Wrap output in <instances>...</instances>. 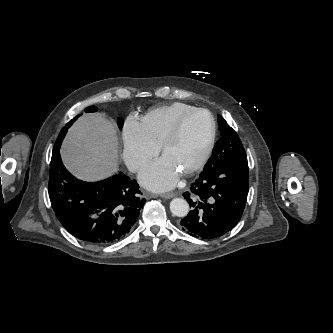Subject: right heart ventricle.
Listing matches in <instances>:
<instances>
[{
    "label": "right heart ventricle",
    "instance_id": "e07e8e85",
    "mask_svg": "<svg viewBox=\"0 0 333 333\" xmlns=\"http://www.w3.org/2000/svg\"><path fill=\"white\" fill-rule=\"evenodd\" d=\"M193 108L195 106L185 102L162 105L146 112L141 118V123L149 138L159 147L175 121Z\"/></svg>",
    "mask_w": 333,
    "mask_h": 333
}]
</instances>
